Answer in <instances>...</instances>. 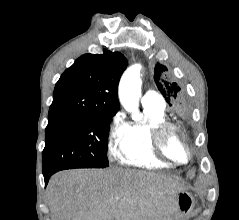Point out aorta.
Listing matches in <instances>:
<instances>
[{"label":"aorta","instance_id":"obj_1","mask_svg":"<svg viewBox=\"0 0 239 220\" xmlns=\"http://www.w3.org/2000/svg\"><path fill=\"white\" fill-rule=\"evenodd\" d=\"M141 66L136 64L129 67L123 74L119 84V99L129 113L134 114V119H140L138 114L139 98L141 96Z\"/></svg>","mask_w":239,"mask_h":220}]
</instances>
